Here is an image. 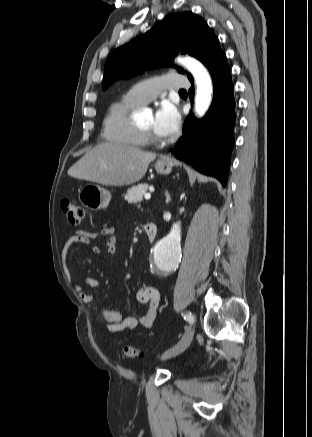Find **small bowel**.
I'll use <instances>...</instances> for the list:
<instances>
[{"mask_svg":"<svg viewBox=\"0 0 312 437\" xmlns=\"http://www.w3.org/2000/svg\"><path fill=\"white\" fill-rule=\"evenodd\" d=\"M99 237H107L106 251L108 253H114L116 251L117 237L116 229L113 226L104 227L99 231L78 230L66 243V249H68L72 244L79 242L92 245V241ZM72 285L83 302L97 311L98 318L110 332L121 333L129 331L134 329L138 324L144 328H150L156 319L160 295L157 288L154 286L143 285L137 289V301L146 305L144 313L139 317V319H137L135 317L123 318L119 311L111 310L98 305L95 302L94 296L88 293L83 287L75 283H72ZM98 287L99 281L97 278L88 277L86 279V288L90 290H97Z\"/></svg>","mask_w":312,"mask_h":437,"instance_id":"small-bowel-1","label":"small bowel"}]
</instances>
